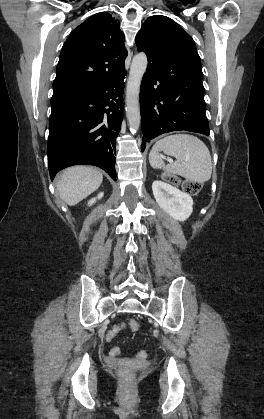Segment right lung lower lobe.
<instances>
[{
  "label": "right lung lower lobe",
  "mask_w": 264,
  "mask_h": 419,
  "mask_svg": "<svg viewBox=\"0 0 264 419\" xmlns=\"http://www.w3.org/2000/svg\"><path fill=\"white\" fill-rule=\"evenodd\" d=\"M125 74L94 89L52 96L47 146L52 180L58 171L78 164L98 166L116 180Z\"/></svg>",
  "instance_id": "obj_1"
}]
</instances>
